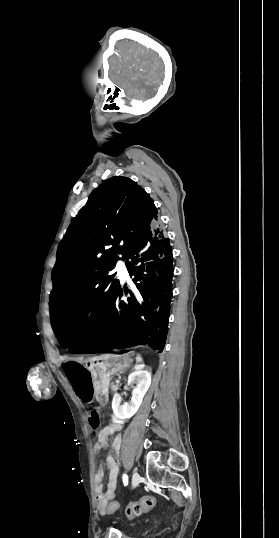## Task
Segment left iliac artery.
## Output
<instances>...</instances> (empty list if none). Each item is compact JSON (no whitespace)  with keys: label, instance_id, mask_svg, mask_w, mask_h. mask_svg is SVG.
I'll list each match as a JSON object with an SVG mask.
<instances>
[{"label":"left iliac artery","instance_id":"obj_1","mask_svg":"<svg viewBox=\"0 0 279 538\" xmlns=\"http://www.w3.org/2000/svg\"><path fill=\"white\" fill-rule=\"evenodd\" d=\"M123 484L126 486L128 484V475L127 474H123Z\"/></svg>","mask_w":279,"mask_h":538}]
</instances>
